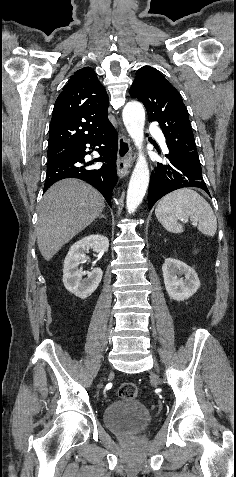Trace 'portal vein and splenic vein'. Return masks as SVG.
<instances>
[{"instance_id":"portal-vein-and-splenic-vein-1","label":"portal vein and splenic vein","mask_w":236,"mask_h":477,"mask_svg":"<svg viewBox=\"0 0 236 477\" xmlns=\"http://www.w3.org/2000/svg\"><path fill=\"white\" fill-rule=\"evenodd\" d=\"M183 222H185V223H186V222H187V220H183Z\"/></svg>"}]
</instances>
